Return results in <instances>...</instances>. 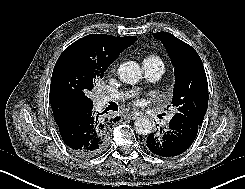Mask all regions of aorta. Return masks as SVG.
Returning <instances> with one entry per match:
<instances>
[{
	"label": "aorta",
	"instance_id": "aorta-1",
	"mask_svg": "<svg viewBox=\"0 0 245 189\" xmlns=\"http://www.w3.org/2000/svg\"><path fill=\"white\" fill-rule=\"evenodd\" d=\"M118 77L125 83L134 84L141 79L142 71L138 63L128 61L120 65ZM134 129L139 135H149L153 130V123L147 118H140L135 121Z\"/></svg>",
	"mask_w": 245,
	"mask_h": 189
}]
</instances>
